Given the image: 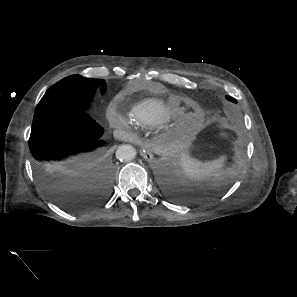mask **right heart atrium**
I'll return each instance as SVG.
<instances>
[{
  "mask_svg": "<svg viewBox=\"0 0 297 297\" xmlns=\"http://www.w3.org/2000/svg\"><path fill=\"white\" fill-rule=\"evenodd\" d=\"M108 118L116 127L123 128L127 130L128 132H132V125L133 123L130 121V119L122 116L119 112H117L115 109L111 108L108 112Z\"/></svg>",
  "mask_w": 297,
  "mask_h": 297,
  "instance_id": "1",
  "label": "right heart atrium"
}]
</instances>
